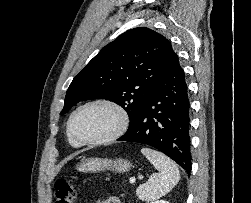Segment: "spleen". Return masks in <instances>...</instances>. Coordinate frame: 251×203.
<instances>
[{
	"mask_svg": "<svg viewBox=\"0 0 251 203\" xmlns=\"http://www.w3.org/2000/svg\"><path fill=\"white\" fill-rule=\"evenodd\" d=\"M141 153L159 171L158 174H153L145 184L140 185L136 190L140 200L150 202L170 192L178 183L180 173L177 165L161 152L144 147L141 149Z\"/></svg>",
	"mask_w": 251,
	"mask_h": 203,
	"instance_id": "1",
	"label": "spleen"
}]
</instances>
